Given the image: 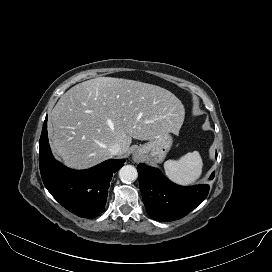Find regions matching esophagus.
I'll use <instances>...</instances> for the list:
<instances>
[{
  "label": "esophagus",
  "instance_id": "obj_1",
  "mask_svg": "<svg viewBox=\"0 0 272 272\" xmlns=\"http://www.w3.org/2000/svg\"><path fill=\"white\" fill-rule=\"evenodd\" d=\"M141 159V156H135L134 155V160H140Z\"/></svg>",
  "mask_w": 272,
  "mask_h": 272
}]
</instances>
